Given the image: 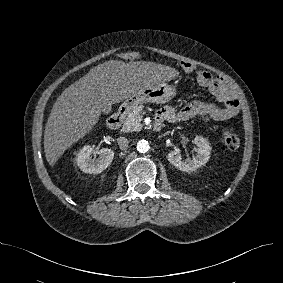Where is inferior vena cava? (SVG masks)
Listing matches in <instances>:
<instances>
[{
    "label": "inferior vena cava",
    "mask_w": 283,
    "mask_h": 283,
    "mask_svg": "<svg viewBox=\"0 0 283 283\" xmlns=\"http://www.w3.org/2000/svg\"><path fill=\"white\" fill-rule=\"evenodd\" d=\"M117 142L121 150H126L130 141L125 137H118Z\"/></svg>",
    "instance_id": "inferior-vena-cava-1"
}]
</instances>
